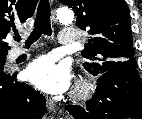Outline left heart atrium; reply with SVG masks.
<instances>
[{"instance_id":"39dd6f15","label":"left heart atrium","mask_w":142,"mask_h":119,"mask_svg":"<svg viewBox=\"0 0 142 119\" xmlns=\"http://www.w3.org/2000/svg\"><path fill=\"white\" fill-rule=\"evenodd\" d=\"M27 79L42 91L61 93L69 87L70 70L65 64H56L49 56L35 59L26 69Z\"/></svg>"}]
</instances>
